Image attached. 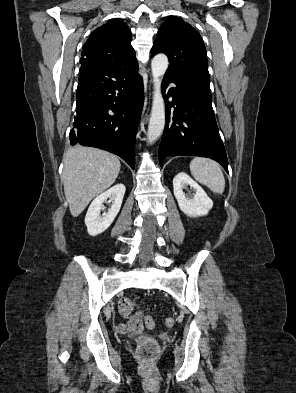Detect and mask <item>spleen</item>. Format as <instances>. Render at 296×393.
Segmentation results:
<instances>
[{
  "mask_svg": "<svg viewBox=\"0 0 296 393\" xmlns=\"http://www.w3.org/2000/svg\"><path fill=\"white\" fill-rule=\"evenodd\" d=\"M191 175L211 191L222 194L225 188V178L220 165L207 158L196 157L190 162Z\"/></svg>",
  "mask_w": 296,
  "mask_h": 393,
  "instance_id": "3e777b00",
  "label": "spleen"
}]
</instances>
